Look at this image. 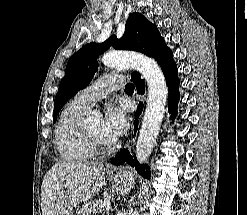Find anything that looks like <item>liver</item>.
Returning a JSON list of instances; mask_svg holds the SVG:
<instances>
[{
  "label": "liver",
  "instance_id": "liver-1",
  "mask_svg": "<svg viewBox=\"0 0 247 215\" xmlns=\"http://www.w3.org/2000/svg\"><path fill=\"white\" fill-rule=\"evenodd\" d=\"M105 183L103 164L57 162L42 182V215H61L95 196Z\"/></svg>",
  "mask_w": 247,
  "mask_h": 215
}]
</instances>
